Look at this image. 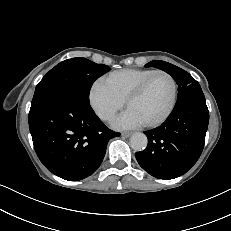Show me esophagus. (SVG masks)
Instances as JSON below:
<instances>
[{"mask_svg":"<svg viewBox=\"0 0 231 231\" xmlns=\"http://www.w3.org/2000/svg\"><path fill=\"white\" fill-rule=\"evenodd\" d=\"M123 137H129L130 135H131V133L130 132H122V134H121Z\"/></svg>","mask_w":231,"mask_h":231,"instance_id":"esophagus-1","label":"esophagus"}]
</instances>
